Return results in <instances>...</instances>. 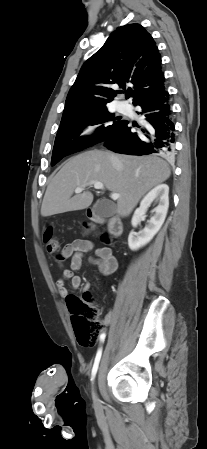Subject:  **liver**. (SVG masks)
<instances>
[{"label": "liver", "instance_id": "obj_1", "mask_svg": "<svg viewBox=\"0 0 207 449\" xmlns=\"http://www.w3.org/2000/svg\"><path fill=\"white\" fill-rule=\"evenodd\" d=\"M110 155L117 161L113 162ZM169 165L156 156L115 155L100 150L85 151L68 159L53 177L45 192L41 215L43 217L69 211L83 210L93 201L90 191L74 190L91 181H99L120 195L116 212L127 217L140 199L153 187L170 177ZM84 187V188H85Z\"/></svg>", "mask_w": 207, "mask_h": 449}]
</instances>
